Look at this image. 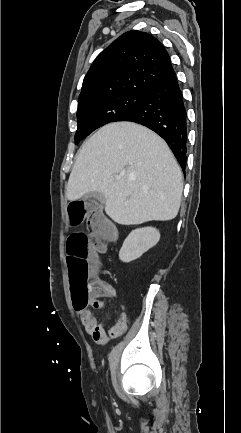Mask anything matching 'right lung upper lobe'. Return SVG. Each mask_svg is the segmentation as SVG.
<instances>
[{"label": "right lung upper lobe", "instance_id": "1", "mask_svg": "<svg viewBox=\"0 0 241 433\" xmlns=\"http://www.w3.org/2000/svg\"><path fill=\"white\" fill-rule=\"evenodd\" d=\"M174 75L170 57L159 40L145 32L129 31L94 60L78 103L125 91L145 93L150 86Z\"/></svg>", "mask_w": 241, "mask_h": 433}]
</instances>
